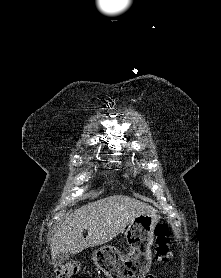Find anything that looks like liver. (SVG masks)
I'll return each mask as SVG.
<instances>
[{
    "label": "liver",
    "instance_id": "6515ba94",
    "mask_svg": "<svg viewBox=\"0 0 221 278\" xmlns=\"http://www.w3.org/2000/svg\"><path fill=\"white\" fill-rule=\"evenodd\" d=\"M147 203L124 195H112L94 201L68 215L54 234L51 256L77 254L89 247L105 244L123 232L138 215L153 213ZM86 229L88 235L83 237Z\"/></svg>",
    "mask_w": 221,
    "mask_h": 278
}]
</instances>
